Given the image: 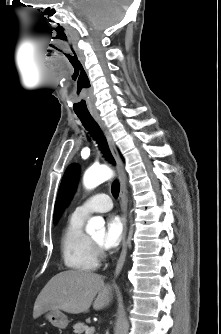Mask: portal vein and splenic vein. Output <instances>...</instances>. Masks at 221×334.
<instances>
[{
	"mask_svg": "<svg viewBox=\"0 0 221 334\" xmlns=\"http://www.w3.org/2000/svg\"><path fill=\"white\" fill-rule=\"evenodd\" d=\"M95 331V328L94 327H90L86 330V334H93V332Z\"/></svg>",
	"mask_w": 221,
	"mask_h": 334,
	"instance_id": "portal-vein-and-splenic-vein-1",
	"label": "portal vein and splenic vein"
}]
</instances>
